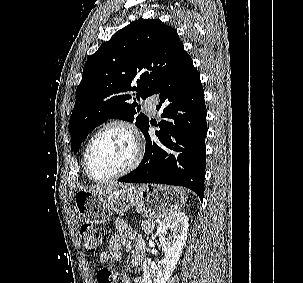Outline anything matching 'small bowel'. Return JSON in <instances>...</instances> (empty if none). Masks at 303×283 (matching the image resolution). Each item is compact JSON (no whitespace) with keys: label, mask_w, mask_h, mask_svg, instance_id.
Returning a JSON list of instances; mask_svg holds the SVG:
<instances>
[{"label":"small bowel","mask_w":303,"mask_h":283,"mask_svg":"<svg viewBox=\"0 0 303 283\" xmlns=\"http://www.w3.org/2000/svg\"><path fill=\"white\" fill-rule=\"evenodd\" d=\"M115 233L111 236L108 249L99 254L100 262L107 264L111 259H120L124 250L133 247L131 264L137 267L142 264L145 257L146 243L144 239L123 219L115 220ZM121 283H131L129 276L123 275ZM135 283H144L142 278H136Z\"/></svg>","instance_id":"obj_1"}]
</instances>
